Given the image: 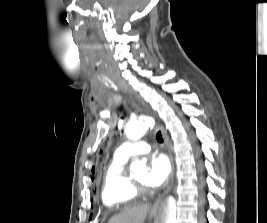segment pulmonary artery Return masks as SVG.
Segmentation results:
<instances>
[{
    "label": "pulmonary artery",
    "mask_w": 267,
    "mask_h": 223,
    "mask_svg": "<svg viewBox=\"0 0 267 223\" xmlns=\"http://www.w3.org/2000/svg\"><path fill=\"white\" fill-rule=\"evenodd\" d=\"M151 146L149 143L143 142L139 144H132L130 142H125L116 151L119 157L129 158L135 155L144 154L149 152Z\"/></svg>",
    "instance_id": "pulmonary-artery-1"
}]
</instances>
